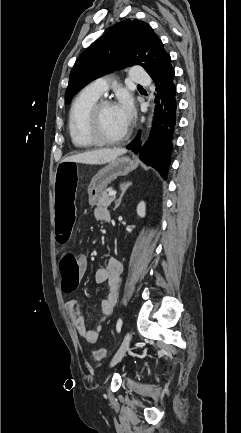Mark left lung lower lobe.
<instances>
[{
	"mask_svg": "<svg viewBox=\"0 0 241 433\" xmlns=\"http://www.w3.org/2000/svg\"><path fill=\"white\" fill-rule=\"evenodd\" d=\"M174 69L169 66L163 75L154 79L156 86L155 115L148 141L141 146L140 133L127 148L139 154L148 166L167 176L171 162L172 141L176 129V87Z\"/></svg>",
	"mask_w": 241,
	"mask_h": 433,
	"instance_id": "left-lung-lower-lobe-1",
	"label": "left lung lower lobe"
}]
</instances>
